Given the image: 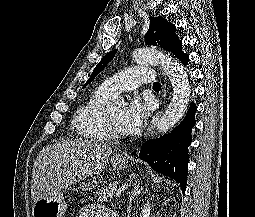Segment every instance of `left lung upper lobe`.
<instances>
[{"label": "left lung upper lobe", "instance_id": "1", "mask_svg": "<svg viewBox=\"0 0 255 217\" xmlns=\"http://www.w3.org/2000/svg\"><path fill=\"white\" fill-rule=\"evenodd\" d=\"M145 42L149 45L160 46L172 53L182 47V41L176 35V29L173 24L165 20L162 16L150 18V27L145 35ZM117 49L107 53L102 60L94 68L90 78L84 84L86 87L94 78L105 68V66L113 59Z\"/></svg>", "mask_w": 255, "mask_h": 217}]
</instances>
